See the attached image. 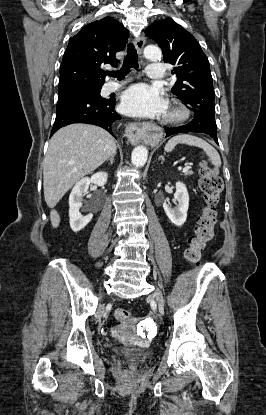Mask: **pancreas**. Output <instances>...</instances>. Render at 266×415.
<instances>
[{
    "mask_svg": "<svg viewBox=\"0 0 266 415\" xmlns=\"http://www.w3.org/2000/svg\"><path fill=\"white\" fill-rule=\"evenodd\" d=\"M193 174V171H186V172H184V176H190V175H192Z\"/></svg>",
    "mask_w": 266,
    "mask_h": 415,
    "instance_id": "cf45deb5",
    "label": "pancreas"
}]
</instances>
